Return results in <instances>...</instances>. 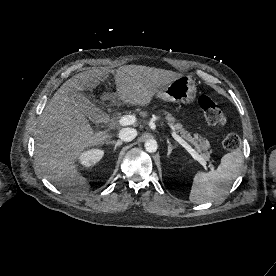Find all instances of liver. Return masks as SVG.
Listing matches in <instances>:
<instances>
[{"instance_id":"1","label":"liver","mask_w":276,"mask_h":276,"mask_svg":"<svg viewBox=\"0 0 276 276\" xmlns=\"http://www.w3.org/2000/svg\"><path fill=\"white\" fill-rule=\"evenodd\" d=\"M116 73L119 100L145 106L159 89L182 76L168 70L126 65L114 70H90L67 80L53 95L40 116L35 136V158L45 177L61 188L78 194L89 190L76 161L88 147L104 144L108 130L94 132L87 117L71 102L69 93L97 87L108 73Z\"/></svg>"}]
</instances>
